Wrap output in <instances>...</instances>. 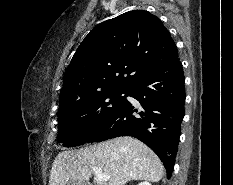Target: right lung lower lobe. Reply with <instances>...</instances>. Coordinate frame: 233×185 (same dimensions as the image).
<instances>
[{
    "instance_id": "right-lung-lower-lobe-1",
    "label": "right lung lower lobe",
    "mask_w": 233,
    "mask_h": 185,
    "mask_svg": "<svg viewBox=\"0 0 233 185\" xmlns=\"http://www.w3.org/2000/svg\"><path fill=\"white\" fill-rule=\"evenodd\" d=\"M125 102L86 142H99L131 135L147 144L163 162L171 177L184 116L185 77L179 58L140 77Z\"/></svg>"
}]
</instances>
